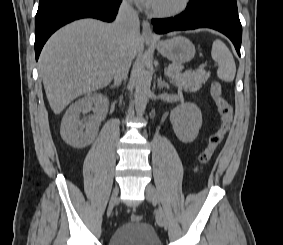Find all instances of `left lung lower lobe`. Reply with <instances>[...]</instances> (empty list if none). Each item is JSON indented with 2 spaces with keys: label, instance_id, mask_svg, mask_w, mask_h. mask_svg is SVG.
<instances>
[{
  "label": "left lung lower lobe",
  "instance_id": "obj_1",
  "mask_svg": "<svg viewBox=\"0 0 283 245\" xmlns=\"http://www.w3.org/2000/svg\"><path fill=\"white\" fill-rule=\"evenodd\" d=\"M156 33H166L175 30L196 28H212L226 35L234 44L240 56L242 26L238 13L220 9H190L174 18L153 19Z\"/></svg>",
  "mask_w": 283,
  "mask_h": 245
}]
</instances>
